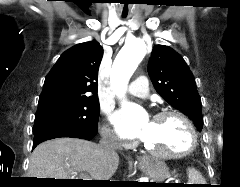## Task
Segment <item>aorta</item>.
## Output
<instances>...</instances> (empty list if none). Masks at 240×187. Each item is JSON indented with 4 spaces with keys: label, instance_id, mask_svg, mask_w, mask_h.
<instances>
[{
    "label": "aorta",
    "instance_id": "obj_1",
    "mask_svg": "<svg viewBox=\"0 0 240 187\" xmlns=\"http://www.w3.org/2000/svg\"><path fill=\"white\" fill-rule=\"evenodd\" d=\"M146 52L145 44L140 39H133L125 44L114 60L111 69V85L119 98H124L128 82L136 70L138 64ZM123 108L128 111L138 112L140 108L133 104L124 102Z\"/></svg>",
    "mask_w": 240,
    "mask_h": 187
}]
</instances>
